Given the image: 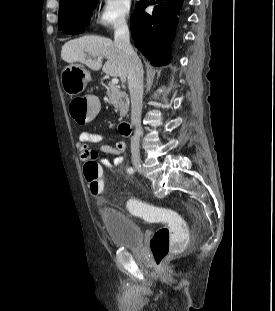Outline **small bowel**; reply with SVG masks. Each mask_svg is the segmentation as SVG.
Instances as JSON below:
<instances>
[{"label":"small bowel","mask_w":275,"mask_h":311,"mask_svg":"<svg viewBox=\"0 0 275 311\" xmlns=\"http://www.w3.org/2000/svg\"><path fill=\"white\" fill-rule=\"evenodd\" d=\"M103 135L91 131H83L79 134L76 141V148L79 151L80 160L85 163V165L95 159L100 152L104 154L112 155L111 159L103 158L100 160V163L107 168H114L121 165L124 162L122 154L125 152L126 143L123 140H118L115 146H110L103 143ZM100 144L98 149H89V144ZM84 165V167H85ZM85 173V170H84Z\"/></svg>","instance_id":"1"}]
</instances>
